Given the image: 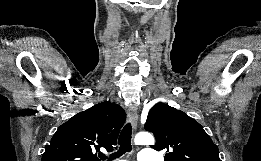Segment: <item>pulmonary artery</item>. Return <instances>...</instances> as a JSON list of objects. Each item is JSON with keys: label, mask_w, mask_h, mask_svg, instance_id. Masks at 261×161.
I'll use <instances>...</instances> for the list:
<instances>
[{"label": "pulmonary artery", "mask_w": 261, "mask_h": 161, "mask_svg": "<svg viewBox=\"0 0 261 161\" xmlns=\"http://www.w3.org/2000/svg\"><path fill=\"white\" fill-rule=\"evenodd\" d=\"M149 149H142L138 154V161H154L152 157H150Z\"/></svg>", "instance_id": "e3ab8cb5"}]
</instances>
